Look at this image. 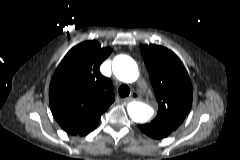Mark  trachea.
I'll return each instance as SVG.
<instances>
[{
    "mask_svg": "<svg viewBox=\"0 0 240 160\" xmlns=\"http://www.w3.org/2000/svg\"><path fill=\"white\" fill-rule=\"evenodd\" d=\"M118 92H119V95L124 98V97H127L129 96L130 94V88L127 86V85H121L119 88H118Z\"/></svg>",
    "mask_w": 240,
    "mask_h": 160,
    "instance_id": "3493384b",
    "label": "trachea"
}]
</instances>
